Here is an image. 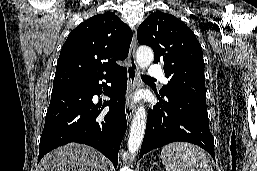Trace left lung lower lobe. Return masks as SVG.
I'll return each instance as SVG.
<instances>
[{
  "mask_svg": "<svg viewBox=\"0 0 257 171\" xmlns=\"http://www.w3.org/2000/svg\"><path fill=\"white\" fill-rule=\"evenodd\" d=\"M158 98L160 103L149 110L139 159L150 150L176 141L196 144L215 159L206 99L181 92L158 95Z\"/></svg>",
  "mask_w": 257,
  "mask_h": 171,
  "instance_id": "1",
  "label": "left lung lower lobe"
}]
</instances>
